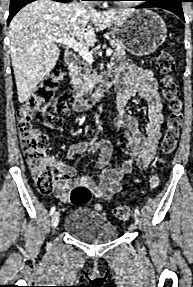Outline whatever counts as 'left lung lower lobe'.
Listing matches in <instances>:
<instances>
[{
  "instance_id": "0a47b994",
  "label": "left lung lower lobe",
  "mask_w": 193,
  "mask_h": 287,
  "mask_svg": "<svg viewBox=\"0 0 193 287\" xmlns=\"http://www.w3.org/2000/svg\"><path fill=\"white\" fill-rule=\"evenodd\" d=\"M143 1H145V3H143L140 6H137V8H150V7L163 8L175 13L183 21H185L181 4L182 2H186L187 0H143Z\"/></svg>"
}]
</instances>
